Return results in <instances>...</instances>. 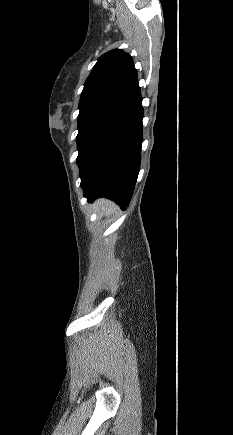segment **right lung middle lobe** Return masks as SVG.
<instances>
[{"label":"right lung middle lobe","instance_id":"right-lung-middle-lobe-1","mask_svg":"<svg viewBox=\"0 0 233 435\" xmlns=\"http://www.w3.org/2000/svg\"><path fill=\"white\" fill-rule=\"evenodd\" d=\"M123 115L113 113H96L78 117V135L76 137L80 165L94 146L122 119Z\"/></svg>","mask_w":233,"mask_h":435}]
</instances>
